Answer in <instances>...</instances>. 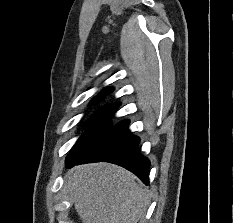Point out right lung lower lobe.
Masks as SVG:
<instances>
[{
    "label": "right lung lower lobe",
    "instance_id": "98d812e1",
    "mask_svg": "<svg viewBox=\"0 0 233 223\" xmlns=\"http://www.w3.org/2000/svg\"><path fill=\"white\" fill-rule=\"evenodd\" d=\"M128 124L129 121L124 120L112 126L82 155H68L66 158L67 167L90 162H110L133 172L148 185L150 161L138 151L140 139L128 132Z\"/></svg>",
    "mask_w": 233,
    "mask_h": 223
}]
</instances>
